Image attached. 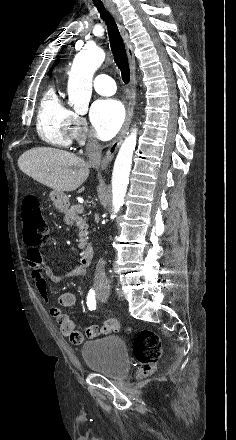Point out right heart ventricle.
Instances as JSON below:
<instances>
[{
	"label": "right heart ventricle",
	"instance_id": "right-heart-ventricle-1",
	"mask_svg": "<svg viewBox=\"0 0 236 440\" xmlns=\"http://www.w3.org/2000/svg\"><path fill=\"white\" fill-rule=\"evenodd\" d=\"M73 112L64 104L56 84H51L44 92L37 115L39 136L47 143L60 147H69L72 143Z\"/></svg>",
	"mask_w": 236,
	"mask_h": 440
}]
</instances>
